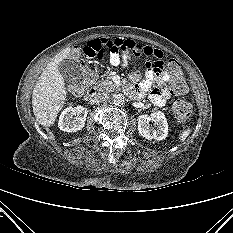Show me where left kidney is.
Wrapping results in <instances>:
<instances>
[{"label": "left kidney", "instance_id": "5707ae66", "mask_svg": "<svg viewBox=\"0 0 233 233\" xmlns=\"http://www.w3.org/2000/svg\"><path fill=\"white\" fill-rule=\"evenodd\" d=\"M154 122V127L149 126V122ZM138 131L146 139L163 140L168 135V123L164 113L157 111L151 115H140L137 119Z\"/></svg>", "mask_w": 233, "mask_h": 233}]
</instances>
